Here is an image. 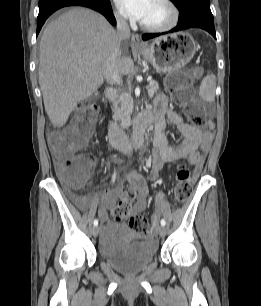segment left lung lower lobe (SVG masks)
Returning a JSON list of instances; mask_svg holds the SVG:
<instances>
[{
    "instance_id": "0a47b994",
    "label": "left lung lower lobe",
    "mask_w": 261,
    "mask_h": 306,
    "mask_svg": "<svg viewBox=\"0 0 261 306\" xmlns=\"http://www.w3.org/2000/svg\"><path fill=\"white\" fill-rule=\"evenodd\" d=\"M178 25L172 30L164 33L144 34L143 40H149L162 34L177 32L188 28H201L208 31L216 39L213 15L209 7L203 5H192L179 10Z\"/></svg>"
}]
</instances>
